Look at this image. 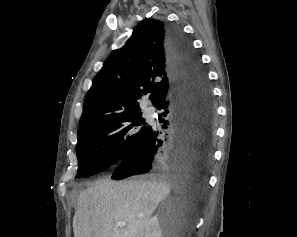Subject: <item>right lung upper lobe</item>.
Masks as SVG:
<instances>
[{
    "label": "right lung upper lobe",
    "mask_w": 297,
    "mask_h": 237,
    "mask_svg": "<svg viewBox=\"0 0 297 237\" xmlns=\"http://www.w3.org/2000/svg\"><path fill=\"white\" fill-rule=\"evenodd\" d=\"M167 26L158 20L145 21L123 48L112 52L86 94L78 135L107 118L140 112L139 103L149 92L155 107L170 97Z\"/></svg>",
    "instance_id": "cb5924a9"
}]
</instances>
